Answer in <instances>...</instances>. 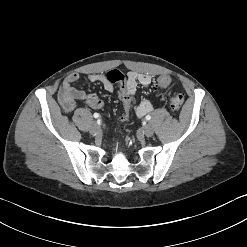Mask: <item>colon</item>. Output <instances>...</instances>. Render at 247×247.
<instances>
[{"instance_id":"5ec220e1","label":"colon","mask_w":247,"mask_h":247,"mask_svg":"<svg viewBox=\"0 0 247 247\" xmlns=\"http://www.w3.org/2000/svg\"><path fill=\"white\" fill-rule=\"evenodd\" d=\"M107 79L116 85L117 99L120 107L125 110L124 118L127 119L132 109V94L130 86L125 82V75L118 71L112 70L107 74ZM169 76H161L157 79L156 86L159 89L166 88L170 84ZM184 103V96L180 93L174 94L169 99L170 108L173 111H179Z\"/></svg>"}]
</instances>
